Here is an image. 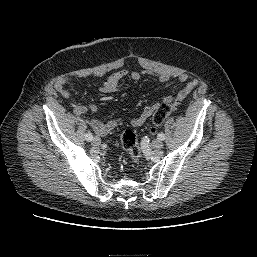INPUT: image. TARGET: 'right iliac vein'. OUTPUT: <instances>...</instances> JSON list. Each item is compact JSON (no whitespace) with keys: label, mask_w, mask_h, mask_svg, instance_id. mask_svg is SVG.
<instances>
[{"label":"right iliac vein","mask_w":257,"mask_h":257,"mask_svg":"<svg viewBox=\"0 0 257 257\" xmlns=\"http://www.w3.org/2000/svg\"><path fill=\"white\" fill-rule=\"evenodd\" d=\"M100 143H101V139H100V138H98V137H94V138H93L92 144H93L94 146H98V145H100Z\"/></svg>","instance_id":"obj_1"}]
</instances>
